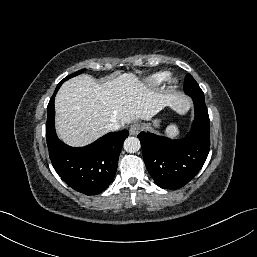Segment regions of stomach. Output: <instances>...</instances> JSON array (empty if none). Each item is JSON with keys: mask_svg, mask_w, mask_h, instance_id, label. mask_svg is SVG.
Instances as JSON below:
<instances>
[{"mask_svg": "<svg viewBox=\"0 0 257 257\" xmlns=\"http://www.w3.org/2000/svg\"><path fill=\"white\" fill-rule=\"evenodd\" d=\"M154 124H155V126H159L158 121H155Z\"/></svg>", "mask_w": 257, "mask_h": 257, "instance_id": "0dacf381", "label": "stomach"}]
</instances>
